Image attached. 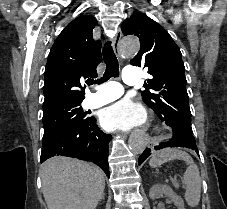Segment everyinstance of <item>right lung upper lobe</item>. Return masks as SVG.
<instances>
[{
	"mask_svg": "<svg viewBox=\"0 0 227 209\" xmlns=\"http://www.w3.org/2000/svg\"><path fill=\"white\" fill-rule=\"evenodd\" d=\"M96 25L93 17L82 15L59 34L45 67L43 105L84 99V80L97 76L96 68L102 61L101 41H95L92 34Z\"/></svg>",
	"mask_w": 227,
	"mask_h": 209,
	"instance_id": "obj_1",
	"label": "right lung upper lobe"
}]
</instances>
